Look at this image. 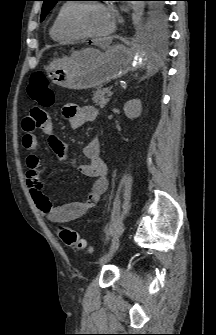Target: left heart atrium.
<instances>
[{
	"instance_id": "39dd6f15",
	"label": "left heart atrium",
	"mask_w": 216,
	"mask_h": 335,
	"mask_svg": "<svg viewBox=\"0 0 216 335\" xmlns=\"http://www.w3.org/2000/svg\"><path fill=\"white\" fill-rule=\"evenodd\" d=\"M107 12H108L110 20L113 22L114 21V12L112 10H109Z\"/></svg>"
}]
</instances>
